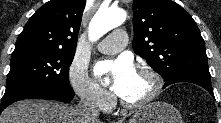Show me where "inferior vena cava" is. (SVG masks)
Wrapping results in <instances>:
<instances>
[{
  "mask_svg": "<svg viewBox=\"0 0 221 123\" xmlns=\"http://www.w3.org/2000/svg\"><path fill=\"white\" fill-rule=\"evenodd\" d=\"M78 113L81 123H97L99 110L96 103V94L90 90L83 95L79 105Z\"/></svg>",
  "mask_w": 221,
  "mask_h": 123,
  "instance_id": "602c4592",
  "label": "inferior vena cava"
}]
</instances>
